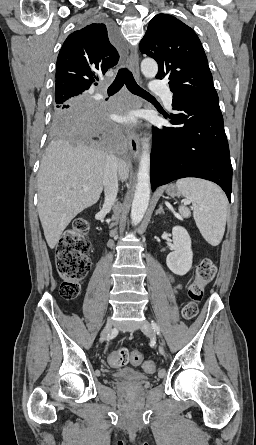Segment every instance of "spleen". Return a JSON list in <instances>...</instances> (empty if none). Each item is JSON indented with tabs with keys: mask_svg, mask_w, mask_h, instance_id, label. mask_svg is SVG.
Segmentation results:
<instances>
[{
	"mask_svg": "<svg viewBox=\"0 0 256 445\" xmlns=\"http://www.w3.org/2000/svg\"><path fill=\"white\" fill-rule=\"evenodd\" d=\"M181 194L193 206V217L204 239L212 246L222 241L228 210L224 192L214 183L197 178H183L176 182ZM183 217L190 216L186 206H179Z\"/></svg>",
	"mask_w": 256,
	"mask_h": 445,
	"instance_id": "1",
	"label": "spleen"
}]
</instances>
